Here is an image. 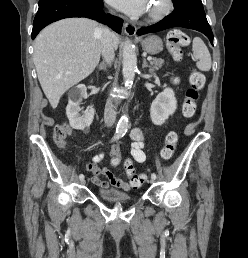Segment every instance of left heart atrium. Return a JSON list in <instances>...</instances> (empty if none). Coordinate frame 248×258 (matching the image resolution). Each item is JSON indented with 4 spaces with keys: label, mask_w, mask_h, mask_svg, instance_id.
Here are the masks:
<instances>
[{
    "label": "left heart atrium",
    "mask_w": 248,
    "mask_h": 258,
    "mask_svg": "<svg viewBox=\"0 0 248 258\" xmlns=\"http://www.w3.org/2000/svg\"><path fill=\"white\" fill-rule=\"evenodd\" d=\"M111 5L131 16H140L149 9L150 0H107Z\"/></svg>",
    "instance_id": "obj_1"
}]
</instances>
